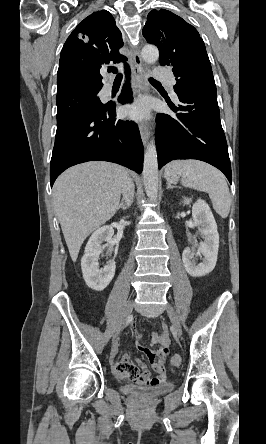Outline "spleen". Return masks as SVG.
Masks as SVG:
<instances>
[{
    "label": "spleen",
    "instance_id": "spleen-1",
    "mask_svg": "<svg viewBox=\"0 0 266 444\" xmlns=\"http://www.w3.org/2000/svg\"><path fill=\"white\" fill-rule=\"evenodd\" d=\"M164 175L171 183H181L209 194L214 210L222 218L230 211L231 196L224 175L211 165L199 160H174L167 164Z\"/></svg>",
    "mask_w": 266,
    "mask_h": 444
}]
</instances>
